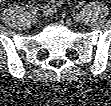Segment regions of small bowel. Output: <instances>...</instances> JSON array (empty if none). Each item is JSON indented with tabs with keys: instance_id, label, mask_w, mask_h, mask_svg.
<instances>
[{
	"instance_id": "small-bowel-1",
	"label": "small bowel",
	"mask_w": 111,
	"mask_h": 106,
	"mask_svg": "<svg viewBox=\"0 0 111 106\" xmlns=\"http://www.w3.org/2000/svg\"><path fill=\"white\" fill-rule=\"evenodd\" d=\"M64 3L63 0H51L44 6V14L46 16L52 15L56 9Z\"/></svg>"
}]
</instances>
